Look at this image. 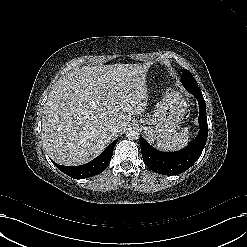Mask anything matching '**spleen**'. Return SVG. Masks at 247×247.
Here are the masks:
<instances>
[{"mask_svg": "<svg viewBox=\"0 0 247 247\" xmlns=\"http://www.w3.org/2000/svg\"><path fill=\"white\" fill-rule=\"evenodd\" d=\"M189 141V127L182 128L180 132L169 136L166 139L159 140L157 147L165 151H176L184 148Z\"/></svg>", "mask_w": 247, "mask_h": 247, "instance_id": "1", "label": "spleen"}]
</instances>
